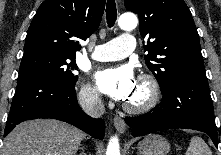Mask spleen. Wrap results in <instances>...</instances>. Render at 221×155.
<instances>
[{
  "label": "spleen",
  "instance_id": "1",
  "mask_svg": "<svg viewBox=\"0 0 221 155\" xmlns=\"http://www.w3.org/2000/svg\"><path fill=\"white\" fill-rule=\"evenodd\" d=\"M185 155H212V152L202 138L193 136Z\"/></svg>",
  "mask_w": 221,
  "mask_h": 155
}]
</instances>
